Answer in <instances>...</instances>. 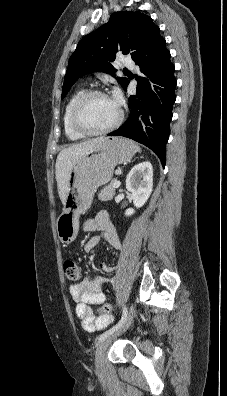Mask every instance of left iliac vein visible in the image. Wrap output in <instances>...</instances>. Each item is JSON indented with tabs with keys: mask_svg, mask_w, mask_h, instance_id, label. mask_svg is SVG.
<instances>
[{
	"mask_svg": "<svg viewBox=\"0 0 227 396\" xmlns=\"http://www.w3.org/2000/svg\"><path fill=\"white\" fill-rule=\"evenodd\" d=\"M133 316L134 306L131 305L127 319L122 327L119 328V330H117L115 333L107 336L102 341H100L96 350V370L98 373H103L105 371V352L108 345L112 342V340H114L117 336H119L121 333L125 332L129 328L132 323Z\"/></svg>",
	"mask_w": 227,
	"mask_h": 396,
	"instance_id": "obj_1",
	"label": "left iliac vein"
}]
</instances>
